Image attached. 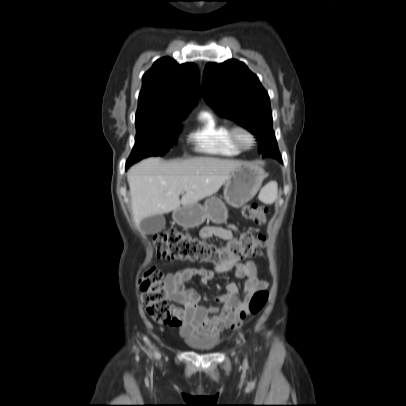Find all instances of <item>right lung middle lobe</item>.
Here are the masks:
<instances>
[{
  "label": "right lung middle lobe",
  "instance_id": "1",
  "mask_svg": "<svg viewBox=\"0 0 406 406\" xmlns=\"http://www.w3.org/2000/svg\"><path fill=\"white\" fill-rule=\"evenodd\" d=\"M181 119L136 117L135 146L126 166L149 156L164 155L176 144Z\"/></svg>",
  "mask_w": 406,
  "mask_h": 406
}]
</instances>
